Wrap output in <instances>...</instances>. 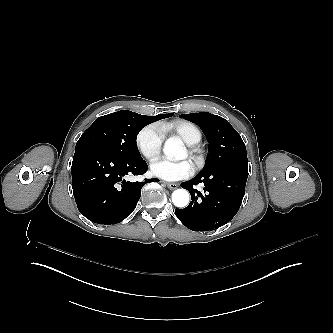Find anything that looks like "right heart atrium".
<instances>
[{
    "mask_svg": "<svg viewBox=\"0 0 333 333\" xmlns=\"http://www.w3.org/2000/svg\"><path fill=\"white\" fill-rule=\"evenodd\" d=\"M163 136L154 125L143 128L136 137V146L139 153L149 165L154 164L161 155Z\"/></svg>",
    "mask_w": 333,
    "mask_h": 333,
    "instance_id": "obj_1",
    "label": "right heart atrium"
}]
</instances>
